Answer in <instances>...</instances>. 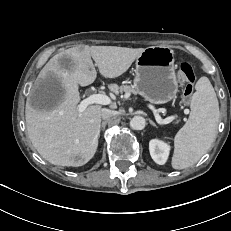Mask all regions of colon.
Segmentation results:
<instances>
[{"label":"colon","instance_id":"5ec220e1","mask_svg":"<svg viewBox=\"0 0 231 231\" xmlns=\"http://www.w3.org/2000/svg\"><path fill=\"white\" fill-rule=\"evenodd\" d=\"M178 76L182 81L186 82L182 91V99L184 102H188L193 93V83L196 79V74L189 63L182 62L180 64Z\"/></svg>","mask_w":231,"mask_h":231}]
</instances>
